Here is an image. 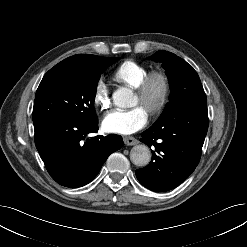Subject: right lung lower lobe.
Instances as JSON below:
<instances>
[{"label": "right lung lower lobe", "instance_id": "right-lung-lower-lobe-1", "mask_svg": "<svg viewBox=\"0 0 247 247\" xmlns=\"http://www.w3.org/2000/svg\"><path fill=\"white\" fill-rule=\"evenodd\" d=\"M98 120L76 117L34 123L36 148L50 176L60 185L77 188L91 182L110 154L123 146L119 135L96 136Z\"/></svg>", "mask_w": 247, "mask_h": 247}]
</instances>
